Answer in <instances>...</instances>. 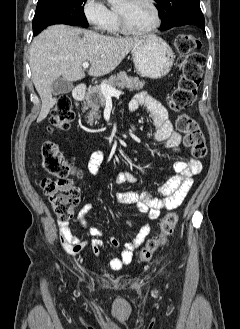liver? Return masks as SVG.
<instances>
[{
  "mask_svg": "<svg viewBox=\"0 0 240 329\" xmlns=\"http://www.w3.org/2000/svg\"><path fill=\"white\" fill-rule=\"evenodd\" d=\"M142 38H116L68 25H53L42 31L30 48V67L42 106L37 122L43 121L56 103L52 83L62 76L67 81L85 77L84 62H90V76L113 71Z\"/></svg>",
  "mask_w": 240,
  "mask_h": 329,
  "instance_id": "liver-1",
  "label": "liver"
}]
</instances>
